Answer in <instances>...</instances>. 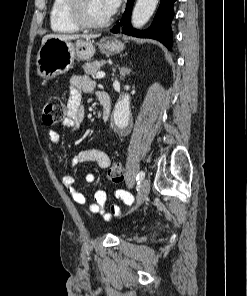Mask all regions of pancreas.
Masks as SVG:
<instances>
[{"mask_svg":"<svg viewBox=\"0 0 247 296\" xmlns=\"http://www.w3.org/2000/svg\"><path fill=\"white\" fill-rule=\"evenodd\" d=\"M105 64L104 60L101 61H94L91 63H86L83 65V69L87 75H91L95 77L96 74L99 72L100 68Z\"/></svg>","mask_w":247,"mask_h":296,"instance_id":"pancreas-1","label":"pancreas"}]
</instances>
